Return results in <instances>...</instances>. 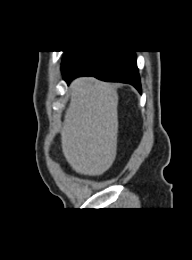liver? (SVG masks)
<instances>
[{"instance_id": "liver-1", "label": "liver", "mask_w": 192, "mask_h": 260, "mask_svg": "<svg viewBox=\"0 0 192 260\" xmlns=\"http://www.w3.org/2000/svg\"><path fill=\"white\" fill-rule=\"evenodd\" d=\"M61 129L62 151L72 169L98 176L113 164L117 149L118 95L113 85L75 79Z\"/></svg>"}]
</instances>
